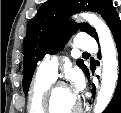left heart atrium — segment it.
I'll return each instance as SVG.
<instances>
[{"label":"left heart atrium","mask_w":121,"mask_h":113,"mask_svg":"<svg viewBox=\"0 0 121 113\" xmlns=\"http://www.w3.org/2000/svg\"><path fill=\"white\" fill-rule=\"evenodd\" d=\"M73 82L75 85L74 92H75V94H77L83 88L84 82H83L82 78L78 75L74 77Z\"/></svg>","instance_id":"left-heart-atrium-1"}]
</instances>
